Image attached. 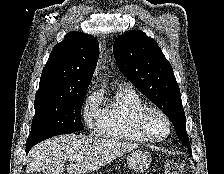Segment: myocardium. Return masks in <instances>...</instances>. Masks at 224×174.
I'll list each match as a JSON object with an SVG mask.
<instances>
[{
    "mask_svg": "<svg viewBox=\"0 0 224 174\" xmlns=\"http://www.w3.org/2000/svg\"><path fill=\"white\" fill-rule=\"evenodd\" d=\"M150 113H157L165 120L166 125H167V131H166L165 135L154 136L147 130L146 118ZM134 124H135V128L138 131V133L142 137H144L146 140L152 141V142H160V141H163L166 138H168V136L171 133V128H172L171 120L168 117V115L160 108L155 107V106H149V105H144L137 111V113L135 114V118H134Z\"/></svg>",
    "mask_w": 224,
    "mask_h": 174,
    "instance_id": "f54148a6",
    "label": "myocardium"
}]
</instances>
